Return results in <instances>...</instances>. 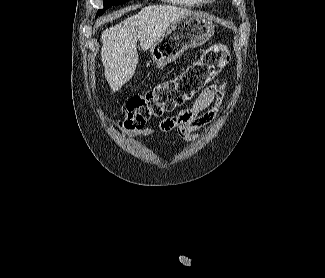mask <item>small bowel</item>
I'll list each match as a JSON object with an SVG mask.
<instances>
[{
    "mask_svg": "<svg viewBox=\"0 0 325 278\" xmlns=\"http://www.w3.org/2000/svg\"><path fill=\"white\" fill-rule=\"evenodd\" d=\"M226 84H212L206 87L194 101L190 108L181 111L179 114L165 118L159 126L161 133L175 131L185 141L191 142L197 139L195 131L209 124L219 113L224 96ZM157 132L151 128H144L137 131H127L128 137L133 136H154Z\"/></svg>",
    "mask_w": 325,
    "mask_h": 278,
    "instance_id": "obj_1",
    "label": "small bowel"
}]
</instances>
